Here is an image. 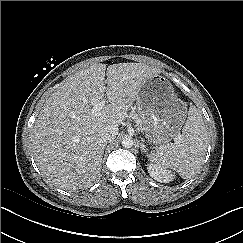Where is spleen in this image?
Instances as JSON below:
<instances>
[{"instance_id": "1", "label": "spleen", "mask_w": 243, "mask_h": 243, "mask_svg": "<svg viewBox=\"0 0 243 243\" xmlns=\"http://www.w3.org/2000/svg\"><path fill=\"white\" fill-rule=\"evenodd\" d=\"M207 148V131L199 110L191 106L188 118L174 143L163 144L151 154L149 160L157 167L172 169L184 178L192 177L200 168Z\"/></svg>"}]
</instances>
